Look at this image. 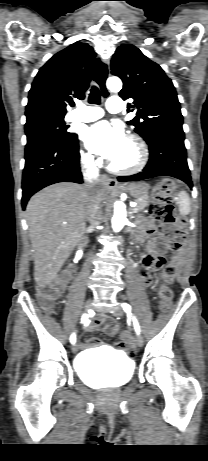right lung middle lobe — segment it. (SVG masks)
<instances>
[{"mask_svg":"<svg viewBox=\"0 0 208 461\" xmlns=\"http://www.w3.org/2000/svg\"><path fill=\"white\" fill-rule=\"evenodd\" d=\"M68 128L69 126L64 122V116H26V146L43 137H56L64 141H73L77 138V134L68 132Z\"/></svg>","mask_w":208,"mask_h":461,"instance_id":"dd1d6c3e","label":"right lung middle lobe"}]
</instances>
